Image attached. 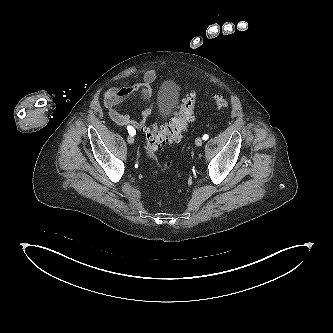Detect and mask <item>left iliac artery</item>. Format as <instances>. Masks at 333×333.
Listing matches in <instances>:
<instances>
[{"instance_id":"obj_1","label":"left iliac artery","mask_w":333,"mask_h":333,"mask_svg":"<svg viewBox=\"0 0 333 333\" xmlns=\"http://www.w3.org/2000/svg\"><path fill=\"white\" fill-rule=\"evenodd\" d=\"M208 138H209V136L207 134H204L203 137H202V139L205 140V141L208 140Z\"/></svg>"}]
</instances>
